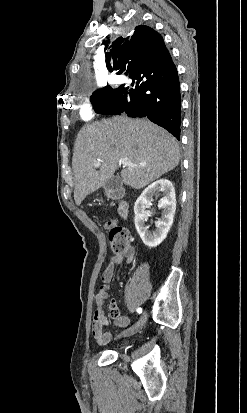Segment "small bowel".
I'll use <instances>...</instances> for the list:
<instances>
[{"label": "small bowel", "mask_w": 247, "mask_h": 413, "mask_svg": "<svg viewBox=\"0 0 247 413\" xmlns=\"http://www.w3.org/2000/svg\"><path fill=\"white\" fill-rule=\"evenodd\" d=\"M125 260L127 264L132 265L135 261V250L129 247L121 253H114L107 263L102 276L101 285L96 294V308L93 315L92 335L96 342L101 345H107L111 340V334L104 330L108 324L105 315V303L109 296L110 283L113 279L115 268ZM109 315L112 317L114 324L119 327H125L128 324V319L120 314L115 299H112L108 305Z\"/></svg>", "instance_id": "small-bowel-1"}]
</instances>
